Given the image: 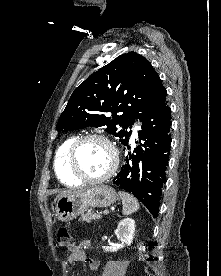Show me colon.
Here are the masks:
<instances>
[{"label": "colon", "instance_id": "colon-1", "mask_svg": "<svg viewBox=\"0 0 221 276\" xmlns=\"http://www.w3.org/2000/svg\"><path fill=\"white\" fill-rule=\"evenodd\" d=\"M57 245L68 249L73 247L71 235L65 227H62L58 230Z\"/></svg>", "mask_w": 221, "mask_h": 276}]
</instances>
